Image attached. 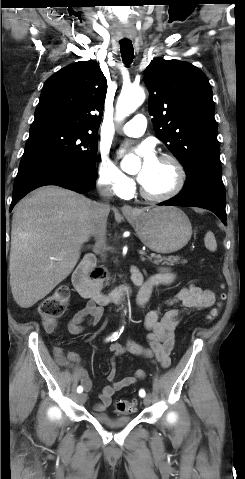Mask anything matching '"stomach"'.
<instances>
[{
    "label": "stomach",
    "instance_id": "1",
    "mask_svg": "<svg viewBox=\"0 0 245 479\" xmlns=\"http://www.w3.org/2000/svg\"><path fill=\"white\" fill-rule=\"evenodd\" d=\"M126 218L143 244L158 253L176 252L192 236L189 218L176 207H145Z\"/></svg>",
    "mask_w": 245,
    "mask_h": 479
}]
</instances>
